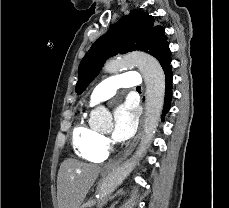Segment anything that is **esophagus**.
I'll return each mask as SVG.
<instances>
[{"label": "esophagus", "mask_w": 229, "mask_h": 208, "mask_svg": "<svg viewBox=\"0 0 229 208\" xmlns=\"http://www.w3.org/2000/svg\"><path fill=\"white\" fill-rule=\"evenodd\" d=\"M144 115L141 117L140 122H139V127H138V131L137 134L134 138V140L132 141V143L129 145V147L127 148V150L123 153V155H121L120 157H118L117 159H115L114 161L109 162L107 165H105L102 170L104 171H112L114 168H116L123 160H125L131 153L132 151L135 149V147L137 146V143L139 142L142 134H143V130H144Z\"/></svg>", "instance_id": "1"}]
</instances>
